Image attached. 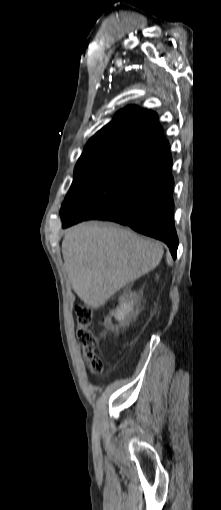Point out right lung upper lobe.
I'll return each instance as SVG.
<instances>
[{
	"label": "right lung upper lobe",
	"instance_id": "obj_1",
	"mask_svg": "<svg viewBox=\"0 0 221 510\" xmlns=\"http://www.w3.org/2000/svg\"><path fill=\"white\" fill-rule=\"evenodd\" d=\"M167 145L156 113L128 106L87 142L79 159L125 149L154 153Z\"/></svg>",
	"mask_w": 221,
	"mask_h": 510
}]
</instances>
